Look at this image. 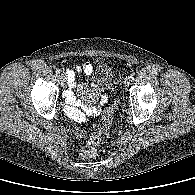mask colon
<instances>
[{
    "label": "colon",
    "instance_id": "obj_1",
    "mask_svg": "<svg viewBox=\"0 0 195 195\" xmlns=\"http://www.w3.org/2000/svg\"><path fill=\"white\" fill-rule=\"evenodd\" d=\"M117 108V103H114L112 107L106 112L103 119V130L106 131L111 124V116ZM77 136L81 137L82 133L77 132ZM102 139V132L100 129L96 128L88 141L86 147L80 151L81 155L85 158H95L98 153V146Z\"/></svg>",
    "mask_w": 195,
    "mask_h": 195
}]
</instances>
